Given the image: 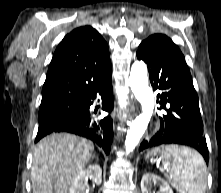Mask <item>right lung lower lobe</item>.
<instances>
[{
	"instance_id": "obj_1",
	"label": "right lung lower lobe",
	"mask_w": 221,
	"mask_h": 193,
	"mask_svg": "<svg viewBox=\"0 0 221 193\" xmlns=\"http://www.w3.org/2000/svg\"><path fill=\"white\" fill-rule=\"evenodd\" d=\"M112 67L100 73L92 82L87 92L82 96V110L76 115L49 127L39 128L35 142L53 132H69L86 137L103 148L106 154L110 152L113 138V123L110 116L100 117L89 112L90 106L97 95L102 97V109L110 111L113 107V90L111 81Z\"/></svg>"
}]
</instances>
